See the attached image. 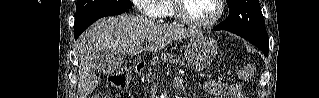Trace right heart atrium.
I'll return each mask as SVG.
<instances>
[{"mask_svg": "<svg viewBox=\"0 0 319 98\" xmlns=\"http://www.w3.org/2000/svg\"><path fill=\"white\" fill-rule=\"evenodd\" d=\"M152 1L155 0H136L134 3L145 16L151 19H158L161 17V15L157 10L150 6Z\"/></svg>", "mask_w": 319, "mask_h": 98, "instance_id": "right-heart-atrium-1", "label": "right heart atrium"}]
</instances>
